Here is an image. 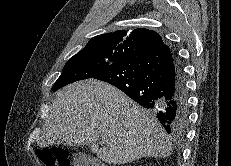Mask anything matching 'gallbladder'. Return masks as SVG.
<instances>
[{
  "instance_id": "1",
  "label": "gallbladder",
  "mask_w": 231,
  "mask_h": 166,
  "mask_svg": "<svg viewBox=\"0 0 231 166\" xmlns=\"http://www.w3.org/2000/svg\"><path fill=\"white\" fill-rule=\"evenodd\" d=\"M92 160L83 154L75 155L74 157V166H88Z\"/></svg>"
}]
</instances>
